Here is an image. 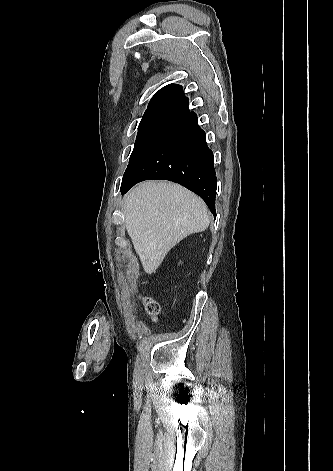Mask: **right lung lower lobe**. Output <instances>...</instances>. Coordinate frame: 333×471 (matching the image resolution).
Wrapping results in <instances>:
<instances>
[{"label":"right lung lower lobe","instance_id":"obj_1","mask_svg":"<svg viewBox=\"0 0 333 471\" xmlns=\"http://www.w3.org/2000/svg\"><path fill=\"white\" fill-rule=\"evenodd\" d=\"M148 179H165L185 186L198 194L216 216L213 152L193 111L156 137L126 169L121 193Z\"/></svg>","mask_w":333,"mask_h":471}]
</instances>
